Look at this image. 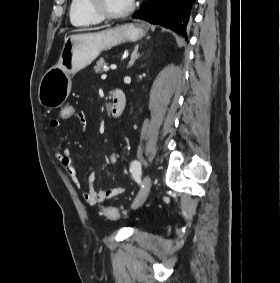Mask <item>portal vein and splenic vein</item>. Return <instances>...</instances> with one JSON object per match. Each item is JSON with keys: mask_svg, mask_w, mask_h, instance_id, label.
Listing matches in <instances>:
<instances>
[{"mask_svg": "<svg viewBox=\"0 0 280 283\" xmlns=\"http://www.w3.org/2000/svg\"><path fill=\"white\" fill-rule=\"evenodd\" d=\"M110 68L112 69V70H115L116 68H117V65L116 64H112L111 66H110ZM108 71V70H107Z\"/></svg>", "mask_w": 280, "mask_h": 283, "instance_id": "1", "label": "portal vein and splenic vein"}]
</instances>
